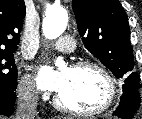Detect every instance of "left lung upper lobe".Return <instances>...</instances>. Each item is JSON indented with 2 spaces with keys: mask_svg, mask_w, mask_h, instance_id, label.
<instances>
[{
  "mask_svg": "<svg viewBox=\"0 0 142 119\" xmlns=\"http://www.w3.org/2000/svg\"><path fill=\"white\" fill-rule=\"evenodd\" d=\"M78 31L85 47L116 78L123 92L141 88L134 72L133 50L127 15L118 0H73Z\"/></svg>",
  "mask_w": 142,
  "mask_h": 119,
  "instance_id": "5c2ea615",
  "label": "left lung upper lobe"
}]
</instances>
